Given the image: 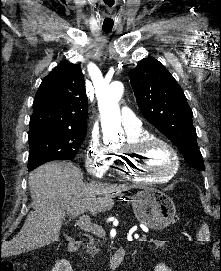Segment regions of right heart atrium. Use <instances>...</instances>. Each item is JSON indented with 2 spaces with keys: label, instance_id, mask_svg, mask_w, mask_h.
I'll use <instances>...</instances> for the list:
<instances>
[{
  "label": "right heart atrium",
  "instance_id": "d8ad5b80",
  "mask_svg": "<svg viewBox=\"0 0 221 271\" xmlns=\"http://www.w3.org/2000/svg\"><path fill=\"white\" fill-rule=\"evenodd\" d=\"M89 156L87 157L86 167L94 170L96 177H105V173H110L116 154L110 151H99V146H88Z\"/></svg>",
  "mask_w": 221,
  "mask_h": 271
}]
</instances>
